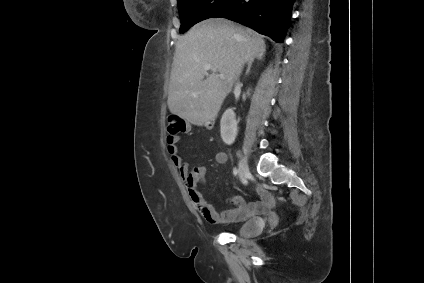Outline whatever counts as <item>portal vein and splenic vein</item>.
<instances>
[{"label": "portal vein and splenic vein", "mask_w": 424, "mask_h": 283, "mask_svg": "<svg viewBox=\"0 0 424 283\" xmlns=\"http://www.w3.org/2000/svg\"><path fill=\"white\" fill-rule=\"evenodd\" d=\"M203 67H204V69H205V70L216 71V69H215L214 67H212L210 64H206V65H204ZM220 78H221V79H224V75H223V74H221V75H220Z\"/></svg>", "instance_id": "portal-vein-and-splenic-vein-1"}]
</instances>
